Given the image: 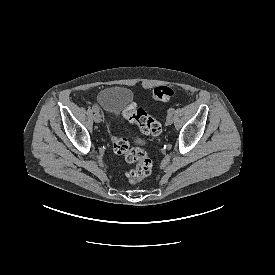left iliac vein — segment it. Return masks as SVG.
<instances>
[{"mask_svg": "<svg viewBox=\"0 0 275 275\" xmlns=\"http://www.w3.org/2000/svg\"><path fill=\"white\" fill-rule=\"evenodd\" d=\"M166 123L168 125H171L173 123V117L171 115H168L166 118Z\"/></svg>", "mask_w": 275, "mask_h": 275, "instance_id": "left-iliac-vein-1", "label": "left iliac vein"}]
</instances>
